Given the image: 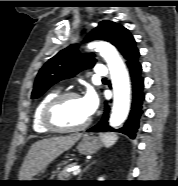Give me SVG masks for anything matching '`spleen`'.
<instances>
[{
    "label": "spleen",
    "instance_id": "spleen-1",
    "mask_svg": "<svg viewBox=\"0 0 178 186\" xmlns=\"http://www.w3.org/2000/svg\"><path fill=\"white\" fill-rule=\"evenodd\" d=\"M100 138L106 148L111 147L118 140V136L116 134H110V133H101Z\"/></svg>",
    "mask_w": 178,
    "mask_h": 186
}]
</instances>
